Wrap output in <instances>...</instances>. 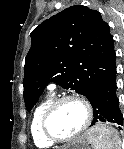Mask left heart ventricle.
Wrapping results in <instances>:
<instances>
[{
	"mask_svg": "<svg viewBox=\"0 0 124 149\" xmlns=\"http://www.w3.org/2000/svg\"><path fill=\"white\" fill-rule=\"evenodd\" d=\"M84 121V107L78 102L68 101L54 111L49 121V128L55 136L64 138L76 133Z\"/></svg>",
	"mask_w": 124,
	"mask_h": 149,
	"instance_id": "obj_1",
	"label": "left heart ventricle"
}]
</instances>
